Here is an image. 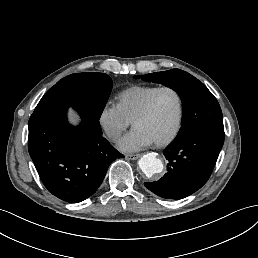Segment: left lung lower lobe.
<instances>
[{
    "mask_svg": "<svg viewBox=\"0 0 258 258\" xmlns=\"http://www.w3.org/2000/svg\"><path fill=\"white\" fill-rule=\"evenodd\" d=\"M224 143V131L202 129L173 141L164 151L167 173L156 182H145L154 194L179 200L199 190L209 179Z\"/></svg>",
    "mask_w": 258,
    "mask_h": 258,
    "instance_id": "0a47b994",
    "label": "left lung lower lobe"
}]
</instances>
